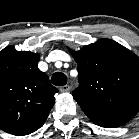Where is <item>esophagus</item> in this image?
I'll return each mask as SVG.
<instances>
[{
	"mask_svg": "<svg viewBox=\"0 0 139 139\" xmlns=\"http://www.w3.org/2000/svg\"><path fill=\"white\" fill-rule=\"evenodd\" d=\"M71 87L69 85H64L60 88L61 92H68L70 91Z\"/></svg>",
	"mask_w": 139,
	"mask_h": 139,
	"instance_id": "obj_1",
	"label": "esophagus"
}]
</instances>
